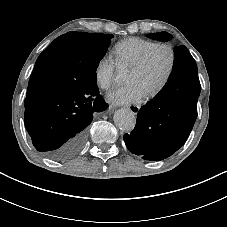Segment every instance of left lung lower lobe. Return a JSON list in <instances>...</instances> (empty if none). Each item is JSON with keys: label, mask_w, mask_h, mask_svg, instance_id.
<instances>
[{"label": "left lung lower lobe", "mask_w": 227, "mask_h": 227, "mask_svg": "<svg viewBox=\"0 0 227 227\" xmlns=\"http://www.w3.org/2000/svg\"><path fill=\"white\" fill-rule=\"evenodd\" d=\"M197 65L185 46L174 50L172 73L162 90L137 114L136 126L123 139L145 160H163L186 142L197 117L200 94Z\"/></svg>", "instance_id": "0a47b994"}]
</instances>
